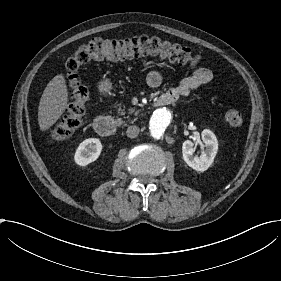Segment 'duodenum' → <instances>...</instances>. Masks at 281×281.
<instances>
[{
  "mask_svg": "<svg viewBox=\"0 0 281 281\" xmlns=\"http://www.w3.org/2000/svg\"><path fill=\"white\" fill-rule=\"evenodd\" d=\"M169 101L161 96L154 101L155 106H165L168 105ZM95 130L102 136H112L116 133L117 124L109 116H97L94 120Z\"/></svg>",
  "mask_w": 281,
  "mask_h": 281,
  "instance_id": "1",
  "label": "duodenum"
}]
</instances>
